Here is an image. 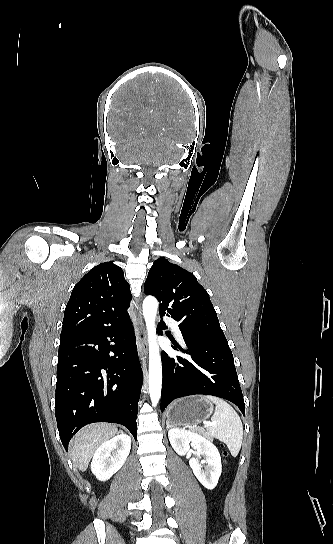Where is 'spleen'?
<instances>
[{"label": "spleen", "instance_id": "obj_1", "mask_svg": "<svg viewBox=\"0 0 333 544\" xmlns=\"http://www.w3.org/2000/svg\"><path fill=\"white\" fill-rule=\"evenodd\" d=\"M216 405L211 418L210 434L226 443L232 456L236 457L243 440V425L237 412L226 401L215 396H204Z\"/></svg>", "mask_w": 333, "mask_h": 544}]
</instances>
